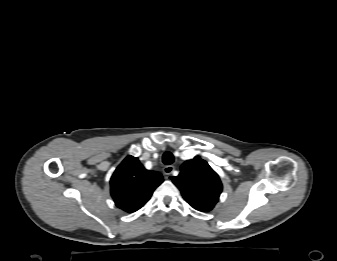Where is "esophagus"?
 I'll return each instance as SVG.
<instances>
[{"label": "esophagus", "mask_w": 337, "mask_h": 261, "mask_svg": "<svg viewBox=\"0 0 337 261\" xmlns=\"http://www.w3.org/2000/svg\"><path fill=\"white\" fill-rule=\"evenodd\" d=\"M174 169L175 168L172 165L165 166L163 168V173H164V175L169 176L170 174H172V172L174 171Z\"/></svg>", "instance_id": "34e87169"}]
</instances>
